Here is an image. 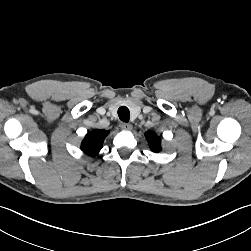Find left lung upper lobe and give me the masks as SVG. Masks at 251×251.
Returning a JSON list of instances; mask_svg holds the SVG:
<instances>
[{
	"mask_svg": "<svg viewBox=\"0 0 251 251\" xmlns=\"http://www.w3.org/2000/svg\"><path fill=\"white\" fill-rule=\"evenodd\" d=\"M148 142H149V145L151 147V149L155 152H159L160 151V138L153 132H147L145 134Z\"/></svg>",
	"mask_w": 251,
	"mask_h": 251,
	"instance_id": "left-lung-upper-lobe-1",
	"label": "left lung upper lobe"
}]
</instances>
